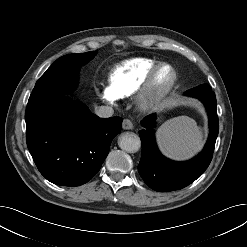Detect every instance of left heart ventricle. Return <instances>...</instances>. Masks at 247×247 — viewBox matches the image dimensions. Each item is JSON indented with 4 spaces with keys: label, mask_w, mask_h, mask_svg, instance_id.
<instances>
[{
    "label": "left heart ventricle",
    "mask_w": 247,
    "mask_h": 247,
    "mask_svg": "<svg viewBox=\"0 0 247 247\" xmlns=\"http://www.w3.org/2000/svg\"><path fill=\"white\" fill-rule=\"evenodd\" d=\"M171 78V71L169 68H163L157 75L155 86L157 89L163 88Z\"/></svg>",
    "instance_id": "obj_1"
}]
</instances>
